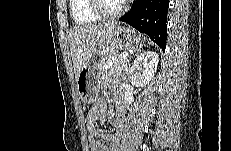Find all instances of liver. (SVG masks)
<instances>
[{
    "label": "liver",
    "mask_w": 231,
    "mask_h": 151,
    "mask_svg": "<svg viewBox=\"0 0 231 151\" xmlns=\"http://www.w3.org/2000/svg\"><path fill=\"white\" fill-rule=\"evenodd\" d=\"M118 25L115 22L90 26H75L70 29V51L76 80L88 59L94 54L108 48L114 30Z\"/></svg>",
    "instance_id": "1"
}]
</instances>
